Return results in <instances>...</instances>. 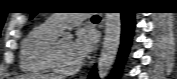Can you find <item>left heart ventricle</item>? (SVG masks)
Segmentation results:
<instances>
[{"instance_id": "left-heart-ventricle-1", "label": "left heart ventricle", "mask_w": 177, "mask_h": 79, "mask_svg": "<svg viewBox=\"0 0 177 79\" xmlns=\"http://www.w3.org/2000/svg\"><path fill=\"white\" fill-rule=\"evenodd\" d=\"M71 45L70 39H61L58 42L60 62L65 68H73L79 63L72 54Z\"/></svg>"}]
</instances>
